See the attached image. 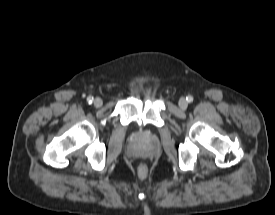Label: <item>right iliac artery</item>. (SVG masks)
Segmentation results:
<instances>
[{"label":"right iliac artery","instance_id":"82829eb1","mask_svg":"<svg viewBox=\"0 0 275 215\" xmlns=\"http://www.w3.org/2000/svg\"><path fill=\"white\" fill-rule=\"evenodd\" d=\"M93 100H94V98H93L92 96H89V97L87 98V102H88L89 104H91V103L93 102Z\"/></svg>","mask_w":275,"mask_h":215}]
</instances>
